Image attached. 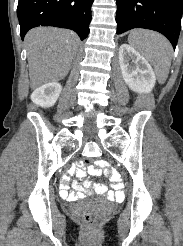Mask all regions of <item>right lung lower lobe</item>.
I'll list each match as a JSON object with an SVG mask.
<instances>
[{"instance_id": "right-lung-lower-lobe-1", "label": "right lung lower lobe", "mask_w": 183, "mask_h": 246, "mask_svg": "<svg viewBox=\"0 0 183 246\" xmlns=\"http://www.w3.org/2000/svg\"><path fill=\"white\" fill-rule=\"evenodd\" d=\"M93 0H19L17 16L22 40L31 28L55 26L75 31L81 40L89 34Z\"/></svg>"}]
</instances>
